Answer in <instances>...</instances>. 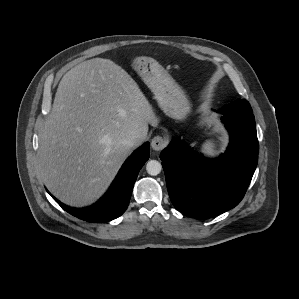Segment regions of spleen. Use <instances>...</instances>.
I'll return each instance as SVG.
<instances>
[{"mask_svg":"<svg viewBox=\"0 0 299 299\" xmlns=\"http://www.w3.org/2000/svg\"><path fill=\"white\" fill-rule=\"evenodd\" d=\"M213 143H211L210 141L206 142L204 145H203V149L206 150V151H212L213 150Z\"/></svg>","mask_w":299,"mask_h":299,"instance_id":"obj_1","label":"spleen"}]
</instances>
